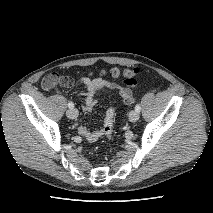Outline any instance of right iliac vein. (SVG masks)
I'll return each mask as SVG.
<instances>
[{"mask_svg":"<svg viewBox=\"0 0 213 213\" xmlns=\"http://www.w3.org/2000/svg\"><path fill=\"white\" fill-rule=\"evenodd\" d=\"M66 115L70 119H75L78 116V111L76 109H69L67 110Z\"/></svg>","mask_w":213,"mask_h":213,"instance_id":"obj_1","label":"right iliac vein"}]
</instances>
